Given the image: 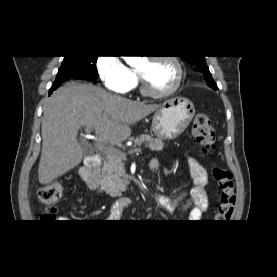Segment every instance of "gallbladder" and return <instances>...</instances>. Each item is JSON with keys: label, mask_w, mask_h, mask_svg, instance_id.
Returning a JSON list of instances; mask_svg holds the SVG:
<instances>
[{"label": "gallbladder", "mask_w": 277, "mask_h": 277, "mask_svg": "<svg viewBox=\"0 0 277 277\" xmlns=\"http://www.w3.org/2000/svg\"><path fill=\"white\" fill-rule=\"evenodd\" d=\"M79 144H80V146L82 148V151H83L84 155H91L93 153L91 148L85 142V140L80 139L79 140Z\"/></svg>", "instance_id": "gallbladder-1"}]
</instances>
